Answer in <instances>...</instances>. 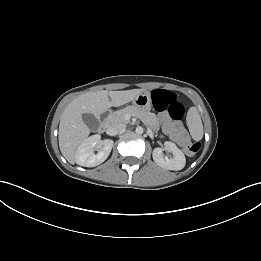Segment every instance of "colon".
<instances>
[{
	"label": "colon",
	"mask_w": 261,
	"mask_h": 261,
	"mask_svg": "<svg viewBox=\"0 0 261 261\" xmlns=\"http://www.w3.org/2000/svg\"><path fill=\"white\" fill-rule=\"evenodd\" d=\"M152 101L156 110L167 112L174 120H180L185 113L184 106L177 100L176 95L168 90L156 89L152 92ZM200 148L198 142L187 143L184 146L186 155H195Z\"/></svg>",
	"instance_id": "1"
}]
</instances>
